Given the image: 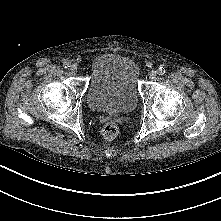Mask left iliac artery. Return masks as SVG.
<instances>
[{"label": "left iliac artery", "instance_id": "44dca946", "mask_svg": "<svg viewBox=\"0 0 221 221\" xmlns=\"http://www.w3.org/2000/svg\"><path fill=\"white\" fill-rule=\"evenodd\" d=\"M166 73V69L164 67H159L157 69V74L158 75H164Z\"/></svg>", "mask_w": 221, "mask_h": 221}]
</instances>
